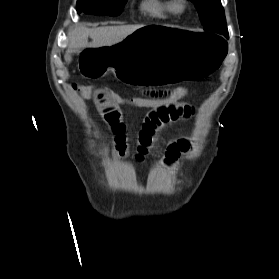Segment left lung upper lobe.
<instances>
[{"mask_svg": "<svg viewBox=\"0 0 279 279\" xmlns=\"http://www.w3.org/2000/svg\"><path fill=\"white\" fill-rule=\"evenodd\" d=\"M197 10L203 29L228 36L224 9L220 0H190Z\"/></svg>", "mask_w": 279, "mask_h": 279, "instance_id": "obj_1", "label": "left lung upper lobe"}]
</instances>
